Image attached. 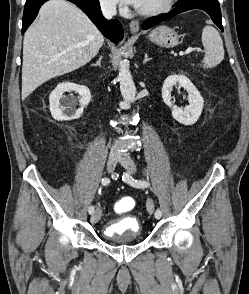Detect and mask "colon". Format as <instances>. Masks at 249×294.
<instances>
[{"instance_id": "5ec220e1", "label": "colon", "mask_w": 249, "mask_h": 294, "mask_svg": "<svg viewBox=\"0 0 249 294\" xmlns=\"http://www.w3.org/2000/svg\"><path fill=\"white\" fill-rule=\"evenodd\" d=\"M135 206L134 199L130 197H124L121 198L116 204H115V211L117 213H127L131 211Z\"/></svg>"}]
</instances>
